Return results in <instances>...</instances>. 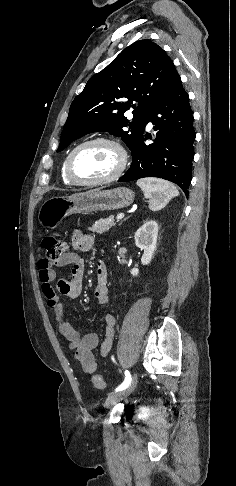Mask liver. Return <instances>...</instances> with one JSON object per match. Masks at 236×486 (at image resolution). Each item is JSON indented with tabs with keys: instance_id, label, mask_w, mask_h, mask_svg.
I'll use <instances>...</instances> for the list:
<instances>
[{
	"instance_id": "1",
	"label": "liver",
	"mask_w": 236,
	"mask_h": 486,
	"mask_svg": "<svg viewBox=\"0 0 236 486\" xmlns=\"http://www.w3.org/2000/svg\"><path fill=\"white\" fill-rule=\"evenodd\" d=\"M92 191H95V190H90V191H88V192H92ZM88 192H86V193H88ZM76 195H79V194H74V195H72V196H76Z\"/></svg>"
}]
</instances>
